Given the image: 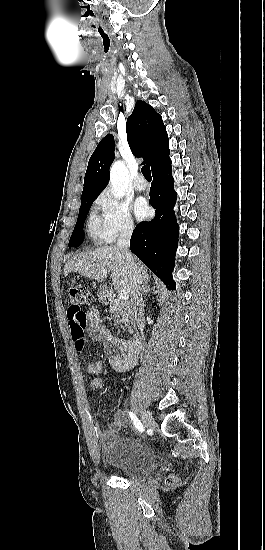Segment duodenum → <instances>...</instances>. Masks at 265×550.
Segmentation results:
<instances>
[{"mask_svg": "<svg viewBox=\"0 0 265 550\" xmlns=\"http://www.w3.org/2000/svg\"><path fill=\"white\" fill-rule=\"evenodd\" d=\"M101 295L102 297H104V299H108V293L106 291H102ZM127 342L134 350L138 351L142 347V338L140 335L132 337L131 339L127 340Z\"/></svg>", "mask_w": 265, "mask_h": 550, "instance_id": "duodenum-1", "label": "duodenum"}]
</instances>
